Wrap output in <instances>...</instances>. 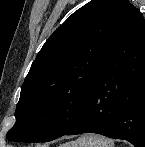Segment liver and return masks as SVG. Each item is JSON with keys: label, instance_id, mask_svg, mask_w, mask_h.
I'll list each match as a JSON object with an SVG mask.
<instances>
[{"label": "liver", "instance_id": "1", "mask_svg": "<svg viewBox=\"0 0 145 147\" xmlns=\"http://www.w3.org/2000/svg\"><path fill=\"white\" fill-rule=\"evenodd\" d=\"M66 145H67V144H65V145H62L61 147H67Z\"/></svg>", "mask_w": 145, "mask_h": 147}]
</instances>
